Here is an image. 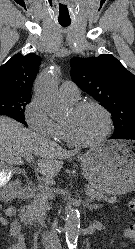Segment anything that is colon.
<instances>
[{
    "mask_svg": "<svg viewBox=\"0 0 135 249\" xmlns=\"http://www.w3.org/2000/svg\"><path fill=\"white\" fill-rule=\"evenodd\" d=\"M129 206L135 212V199L130 201ZM125 236L128 243H131V241L135 243V223L128 226Z\"/></svg>",
    "mask_w": 135,
    "mask_h": 249,
    "instance_id": "colon-1",
    "label": "colon"
}]
</instances>
